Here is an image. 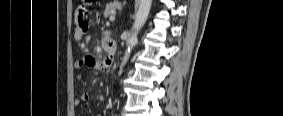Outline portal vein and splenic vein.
Listing matches in <instances>:
<instances>
[{
	"label": "portal vein and splenic vein",
	"mask_w": 283,
	"mask_h": 116,
	"mask_svg": "<svg viewBox=\"0 0 283 116\" xmlns=\"http://www.w3.org/2000/svg\"><path fill=\"white\" fill-rule=\"evenodd\" d=\"M109 20H110L111 22L115 21V16H113V15L110 16Z\"/></svg>",
	"instance_id": "1"
}]
</instances>
